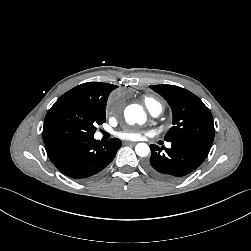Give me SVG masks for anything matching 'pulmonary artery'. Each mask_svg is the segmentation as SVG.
<instances>
[{
    "instance_id": "pulmonary-artery-1",
    "label": "pulmonary artery",
    "mask_w": 251,
    "mask_h": 251,
    "mask_svg": "<svg viewBox=\"0 0 251 251\" xmlns=\"http://www.w3.org/2000/svg\"><path fill=\"white\" fill-rule=\"evenodd\" d=\"M147 109L153 117H157L162 111V109L159 106H150L147 107ZM167 146L169 147L170 144H167Z\"/></svg>"
}]
</instances>
